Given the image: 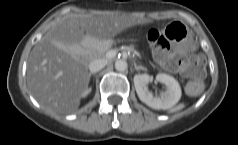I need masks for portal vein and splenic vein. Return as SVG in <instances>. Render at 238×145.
<instances>
[{
    "instance_id": "1",
    "label": "portal vein and splenic vein",
    "mask_w": 238,
    "mask_h": 145,
    "mask_svg": "<svg viewBox=\"0 0 238 145\" xmlns=\"http://www.w3.org/2000/svg\"><path fill=\"white\" fill-rule=\"evenodd\" d=\"M113 54H115V51H109L106 53V57H111Z\"/></svg>"
}]
</instances>
